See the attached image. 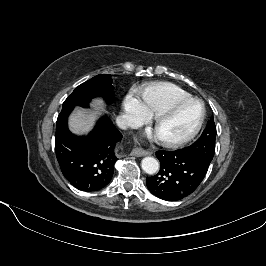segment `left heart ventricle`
<instances>
[{
  "mask_svg": "<svg viewBox=\"0 0 266 266\" xmlns=\"http://www.w3.org/2000/svg\"><path fill=\"white\" fill-rule=\"evenodd\" d=\"M202 108L189 104L166 119L158 128V135L167 139H178L190 133L200 119Z\"/></svg>",
  "mask_w": 266,
  "mask_h": 266,
  "instance_id": "obj_1",
  "label": "left heart ventricle"
}]
</instances>
